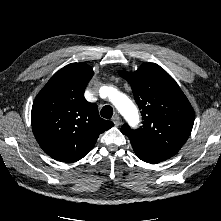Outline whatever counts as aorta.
<instances>
[{
    "label": "aorta",
    "mask_w": 221,
    "mask_h": 221,
    "mask_svg": "<svg viewBox=\"0 0 221 221\" xmlns=\"http://www.w3.org/2000/svg\"><path fill=\"white\" fill-rule=\"evenodd\" d=\"M100 91L108 92L111 102L131 126L135 127L139 123L138 110L127 96L119 92L113 95L112 93L115 89L112 87L104 86Z\"/></svg>",
    "instance_id": "1"
}]
</instances>
